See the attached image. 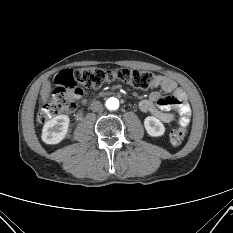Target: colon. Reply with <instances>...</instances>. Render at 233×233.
<instances>
[{
    "mask_svg": "<svg viewBox=\"0 0 233 233\" xmlns=\"http://www.w3.org/2000/svg\"><path fill=\"white\" fill-rule=\"evenodd\" d=\"M156 80L157 75L152 72L129 68L105 70L85 67L63 70L57 75V88L39 110L37 120L43 124L55 116L74 111L88 90L97 89L105 84L119 81L138 89H147L153 86ZM186 134L187 127L180 126L171 131L169 141L174 146L180 145Z\"/></svg>",
    "mask_w": 233,
    "mask_h": 233,
    "instance_id": "1",
    "label": "colon"
}]
</instances>
